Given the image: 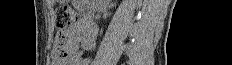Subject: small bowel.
I'll return each instance as SVG.
<instances>
[{"mask_svg":"<svg viewBox=\"0 0 232 65\" xmlns=\"http://www.w3.org/2000/svg\"><path fill=\"white\" fill-rule=\"evenodd\" d=\"M58 35L64 38L65 50L71 56L69 65H82L79 56L80 47L85 51L94 50L96 47L93 34L89 33L82 20L72 27L61 31Z\"/></svg>","mask_w":232,"mask_h":65,"instance_id":"small-bowel-1","label":"small bowel"}]
</instances>
